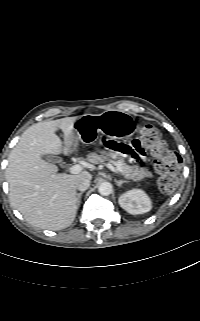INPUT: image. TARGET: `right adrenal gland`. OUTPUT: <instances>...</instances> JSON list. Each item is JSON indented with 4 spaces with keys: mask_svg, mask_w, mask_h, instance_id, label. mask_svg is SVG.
<instances>
[{
    "mask_svg": "<svg viewBox=\"0 0 200 321\" xmlns=\"http://www.w3.org/2000/svg\"><path fill=\"white\" fill-rule=\"evenodd\" d=\"M83 193H84V192L82 191V192H80V193L77 194V205H78V206H80L81 196H82Z\"/></svg>",
    "mask_w": 200,
    "mask_h": 321,
    "instance_id": "1",
    "label": "right adrenal gland"
}]
</instances>
